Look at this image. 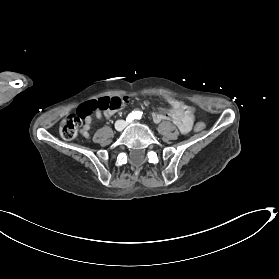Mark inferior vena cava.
I'll return each mask as SVG.
<instances>
[{
    "label": "inferior vena cava",
    "instance_id": "602c4592",
    "mask_svg": "<svg viewBox=\"0 0 279 279\" xmlns=\"http://www.w3.org/2000/svg\"><path fill=\"white\" fill-rule=\"evenodd\" d=\"M126 124H128L127 121L119 120V121L116 122L115 128H116V130H118V131H122V130L124 129V126H125Z\"/></svg>",
    "mask_w": 279,
    "mask_h": 279
}]
</instances>
